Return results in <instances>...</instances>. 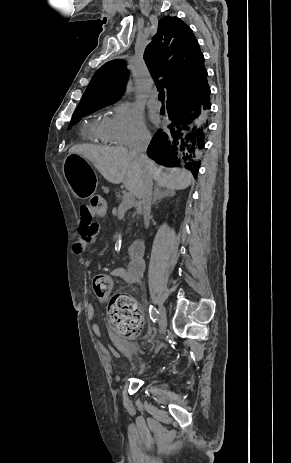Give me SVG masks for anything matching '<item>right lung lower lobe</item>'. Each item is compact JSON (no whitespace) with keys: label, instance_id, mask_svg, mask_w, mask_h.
I'll return each mask as SVG.
<instances>
[{"label":"right lung lower lobe","instance_id":"right-lung-lower-lobe-1","mask_svg":"<svg viewBox=\"0 0 291 463\" xmlns=\"http://www.w3.org/2000/svg\"><path fill=\"white\" fill-rule=\"evenodd\" d=\"M210 108L206 73L198 91L167 100L171 124L166 131H158L154 135L148 146V156L167 167H185L197 177Z\"/></svg>","mask_w":291,"mask_h":463}]
</instances>
